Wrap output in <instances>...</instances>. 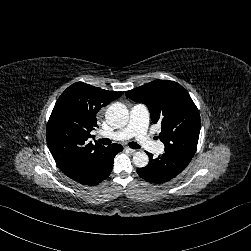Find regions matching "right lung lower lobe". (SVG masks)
<instances>
[{
    "label": "right lung lower lobe",
    "mask_w": 251,
    "mask_h": 251,
    "mask_svg": "<svg viewBox=\"0 0 251 251\" xmlns=\"http://www.w3.org/2000/svg\"><path fill=\"white\" fill-rule=\"evenodd\" d=\"M122 150V145L112 144L107 147V152L102 159L88 163L74 174L67 176L81 184L96 185L110 175L114 157Z\"/></svg>",
    "instance_id": "98d812e1"
}]
</instances>
